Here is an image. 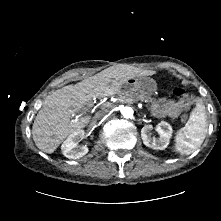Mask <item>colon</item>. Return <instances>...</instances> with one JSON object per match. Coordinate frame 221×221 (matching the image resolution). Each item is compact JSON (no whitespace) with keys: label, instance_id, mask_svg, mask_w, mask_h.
<instances>
[{"label":"colon","instance_id":"5ec220e1","mask_svg":"<svg viewBox=\"0 0 221 221\" xmlns=\"http://www.w3.org/2000/svg\"><path fill=\"white\" fill-rule=\"evenodd\" d=\"M173 95L176 96L180 101L184 102L187 106H190L191 97L186 94L185 90L182 88H175L172 91Z\"/></svg>","mask_w":221,"mask_h":221}]
</instances>
